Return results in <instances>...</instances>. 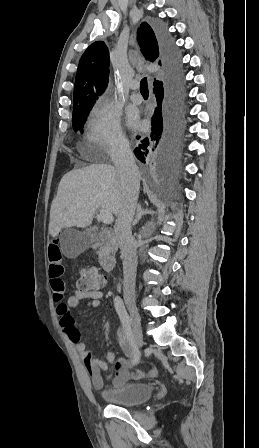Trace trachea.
<instances>
[{
  "label": "trachea",
  "instance_id": "1",
  "mask_svg": "<svg viewBox=\"0 0 259 448\" xmlns=\"http://www.w3.org/2000/svg\"><path fill=\"white\" fill-rule=\"evenodd\" d=\"M140 92L141 94L144 95H148V82H147V78L144 77L142 78V80L140 81Z\"/></svg>",
  "mask_w": 259,
  "mask_h": 448
}]
</instances>
